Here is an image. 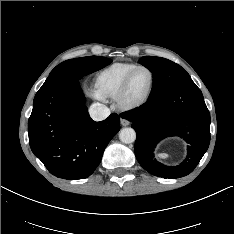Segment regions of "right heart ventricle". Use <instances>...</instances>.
Instances as JSON below:
<instances>
[{
    "label": "right heart ventricle",
    "instance_id": "obj_1",
    "mask_svg": "<svg viewBox=\"0 0 234 234\" xmlns=\"http://www.w3.org/2000/svg\"><path fill=\"white\" fill-rule=\"evenodd\" d=\"M138 65L133 63H115L95 77V87L103 99H115L127 75Z\"/></svg>",
    "mask_w": 234,
    "mask_h": 234
}]
</instances>
